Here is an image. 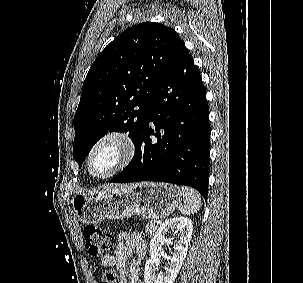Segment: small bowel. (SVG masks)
<instances>
[{
	"label": "small bowel",
	"mask_w": 303,
	"mask_h": 283,
	"mask_svg": "<svg viewBox=\"0 0 303 283\" xmlns=\"http://www.w3.org/2000/svg\"><path fill=\"white\" fill-rule=\"evenodd\" d=\"M147 247L138 232L122 234L114 254H106L101 258L103 267L115 270L116 276L109 271L104 275V283H142L140 279L141 264L146 255ZM135 253V258L128 263L130 256Z\"/></svg>",
	"instance_id": "c3829d8e"
}]
</instances>
